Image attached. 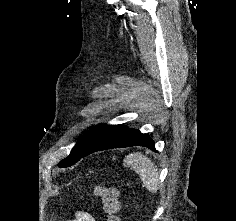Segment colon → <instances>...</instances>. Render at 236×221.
Segmentation results:
<instances>
[{"instance_id":"5ec220e1","label":"colon","mask_w":236,"mask_h":221,"mask_svg":"<svg viewBox=\"0 0 236 221\" xmlns=\"http://www.w3.org/2000/svg\"><path fill=\"white\" fill-rule=\"evenodd\" d=\"M95 195L100 199L105 213L104 221H119V200L118 190L115 187L97 186L94 189Z\"/></svg>"}]
</instances>
